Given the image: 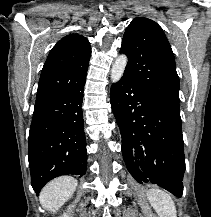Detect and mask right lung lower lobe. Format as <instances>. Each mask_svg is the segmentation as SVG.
<instances>
[{
	"instance_id": "98d812e1",
	"label": "right lung lower lobe",
	"mask_w": 211,
	"mask_h": 217,
	"mask_svg": "<svg viewBox=\"0 0 211 217\" xmlns=\"http://www.w3.org/2000/svg\"><path fill=\"white\" fill-rule=\"evenodd\" d=\"M85 78L86 75L69 90L35 104L28 155L31 184L37 195L55 177L86 172L81 109Z\"/></svg>"
}]
</instances>
